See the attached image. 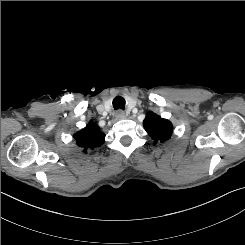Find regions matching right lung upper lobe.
Wrapping results in <instances>:
<instances>
[{"mask_svg":"<svg viewBox=\"0 0 245 245\" xmlns=\"http://www.w3.org/2000/svg\"><path fill=\"white\" fill-rule=\"evenodd\" d=\"M105 134L100 132L98 125L92 121L74 135L76 144L84 148V152L87 149H94L104 143Z\"/></svg>","mask_w":245,"mask_h":245,"instance_id":"obj_1","label":"right lung upper lobe"}]
</instances>
